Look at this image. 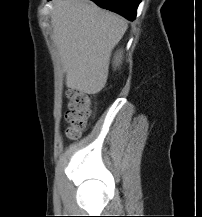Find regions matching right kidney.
Returning a JSON list of instances; mask_svg holds the SVG:
<instances>
[{"label": "right kidney", "instance_id": "ca27d5eb", "mask_svg": "<svg viewBox=\"0 0 202 217\" xmlns=\"http://www.w3.org/2000/svg\"><path fill=\"white\" fill-rule=\"evenodd\" d=\"M122 60V52H117V54L114 56V62L113 64L115 66H119Z\"/></svg>", "mask_w": 202, "mask_h": 217}]
</instances>
